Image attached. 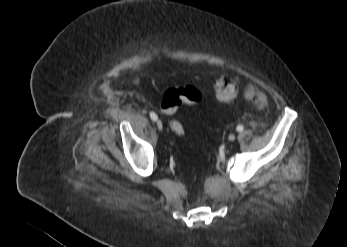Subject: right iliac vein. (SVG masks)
I'll return each instance as SVG.
<instances>
[{
    "mask_svg": "<svg viewBox=\"0 0 347 247\" xmlns=\"http://www.w3.org/2000/svg\"><path fill=\"white\" fill-rule=\"evenodd\" d=\"M156 126H157V128H158L159 130H162V129H163V124H162V122H161L160 120H157Z\"/></svg>",
    "mask_w": 347,
    "mask_h": 247,
    "instance_id": "obj_1",
    "label": "right iliac vein"
}]
</instances>
